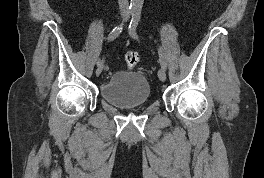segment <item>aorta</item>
Masks as SVG:
<instances>
[{
  "label": "aorta",
  "instance_id": "762f6f07",
  "mask_svg": "<svg viewBox=\"0 0 264 178\" xmlns=\"http://www.w3.org/2000/svg\"><path fill=\"white\" fill-rule=\"evenodd\" d=\"M144 0H131L130 9L131 11L140 12L143 6Z\"/></svg>",
  "mask_w": 264,
  "mask_h": 178
}]
</instances>
